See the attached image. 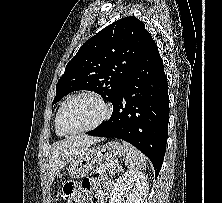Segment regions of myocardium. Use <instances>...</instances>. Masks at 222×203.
I'll list each match as a JSON object with an SVG mask.
<instances>
[{"label": "myocardium", "instance_id": "f54148a6", "mask_svg": "<svg viewBox=\"0 0 222 203\" xmlns=\"http://www.w3.org/2000/svg\"><path fill=\"white\" fill-rule=\"evenodd\" d=\"M79 97H88L91 98L95 101H97L102 107H103V114L102 116L92 125L87 126V127H83V128H79V129H69L67 128L62 121V117H63V112L65 110V108L67 107V105L74 99L79 98ZM112 114V106L110 103H108L102 96L96 94V93H92V92H80L77 94H74L72 96H70L60 107L59 112H58V116H57V124L59 126V128L65 132L66 134H79V133H84V132H89L92 131L96 128H98L99 126H101L106 120H108L110 118Z\"/></svg>", "mask_w": 222, "mask_h": 203}]
</instances>
